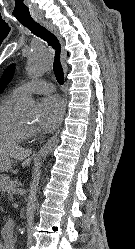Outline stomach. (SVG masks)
Segmentation results:
<instances>
[{"label": "stomach", "instance_id": "1", "mask_svg": "<svg viewBox=\"0 0 135 249\" xmlns=\"http://www.w3.org/2000/svg\"><path fill=\"white\" fill-rule=\"evenodd\" d=\"M11 166V159L7 156L0 155V173L6 172ZM3 176H1L0 180H3Z\"/></svg>", "mask_w": 135, "mask_h": 249}]
</instances>
